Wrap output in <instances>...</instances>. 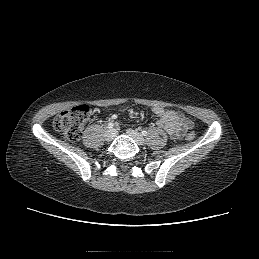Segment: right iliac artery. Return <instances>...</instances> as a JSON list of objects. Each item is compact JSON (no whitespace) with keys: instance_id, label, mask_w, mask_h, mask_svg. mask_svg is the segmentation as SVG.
<instances>
[{"instance_id":"1","label":"right iliac artery","mask_w":259,"mask_h":259,"mask_svg":"<svg viewBox=\"0 0 259 259\" xmlns=\"http://www.w3.org/2000/svg\"><path fill=\"white\" fill-rule=\"evenodd\" d=\"M113 127H114V123L113 122L108 123L107 128L112 129Z\"/></svg>"}]
</instances>
